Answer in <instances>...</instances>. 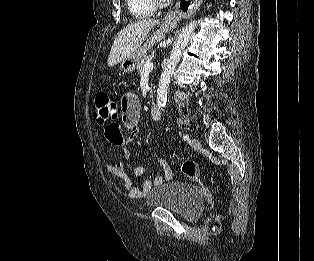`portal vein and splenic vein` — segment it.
Here are the masks:
<instances>
[{"label": "portal vein and splenic vein", "instance_id": "obj_1", "mask_svg": "<svg viewBox=\"0 0 314 261\" xmlns=\"http://www.w3.org/2000/svg\"><path fill=\"white\" fill-rule=\"evenodd\" d=\"M153 69V63L151 61H147L144 65V72H150Z\"/></svg>", "mask_w": 314, "mask_h": 261}]
</instances>
